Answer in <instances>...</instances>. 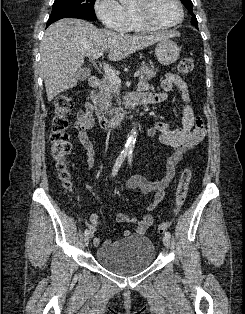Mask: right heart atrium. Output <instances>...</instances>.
Masks as SVG:
<instances>
[{"label": "right heart atrium", "mask_w": 245, "mask_h": 314, "mask_svg": "<svg viewBox=\"0 0 245 314\" xmlns=\"http://www.w3.org/2000/svg\"><path fill=\"white\" fill-rule=\"evenodd\" d=\"M94 9L101 23L108 29L123 31L127 22L126 8L118 0H96Z\"/></svg>", "instance_id": "obj_1"}]
</instances>
